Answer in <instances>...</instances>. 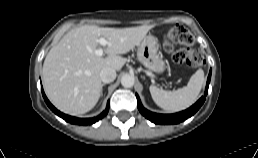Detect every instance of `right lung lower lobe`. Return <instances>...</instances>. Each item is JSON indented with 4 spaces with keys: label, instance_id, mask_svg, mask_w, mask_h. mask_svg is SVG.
Here are the masks:
<instances>
[{
    "label": "right lung lower lobe",
    "instance_id": "obj_1",
    "mask_svg": "<svg viewBox=\"0 0 258 158\" xmlns=\"http://www.w3.org/2000/svg\"><path fill=\"white\" fill-rule=\"evenodd\" d=\"M41 91H42V95L44 97V100L46 102V104L48 105V107L58 116H60L61 118H63L65 121L71 123V124H78V125H88V124H93L95 122H97L98 120L102 119L109 111V101L107 103V107L105 109V111H103L99 116L95 117V118H76V117H72V116H68L66 114L61 113L60 111H58L47 99L43 88L41 87Z\"/></svg>",
    "mask_w": 258,
    "mask_h": 158
}]
</instances>
